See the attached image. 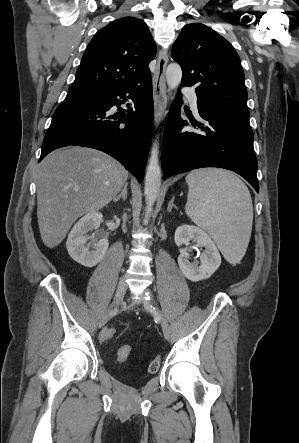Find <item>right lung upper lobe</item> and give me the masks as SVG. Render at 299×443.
<instances>
[{
    "instance_id": "right-lung-upper-lobe-1",
    "label": "right lung upper lobe",
    "mask_w": 299,
    "mask_h": 443,
    "mask_svg": "<svg viewBox=\"0 0 299 443\" xmlns=\"http://www.w3.org/2000/svg\"><path fill=\"white\" fill-rule=\"evenodd\" d=\"M156 45L142 19L124 17L102 28L83 54L70 88L102 90L151 77Z\"/></svg>"
}]
</instances>
